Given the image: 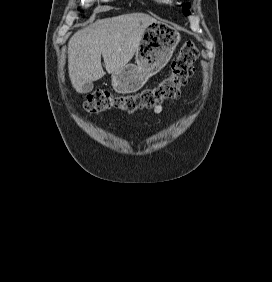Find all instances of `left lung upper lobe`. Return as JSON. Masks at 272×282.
<instances>
[{
  "mask_svg": "<svg viewBox=\"0 0 272 282\" xmlns=\"http://www.w3.org/2000/svg\"><path fill=\"white\" fill-rule=\"evenodd\" d=\"M189 7H190V5L188 3L183 5V12H184L185 15L190 14V12L188 10Z\"/></svg>",
  "mask_w": 272,
  "mask_h": 282,
  "instance_id": "1",
  "label": "left lung upper lobe"
}]
</instances>
